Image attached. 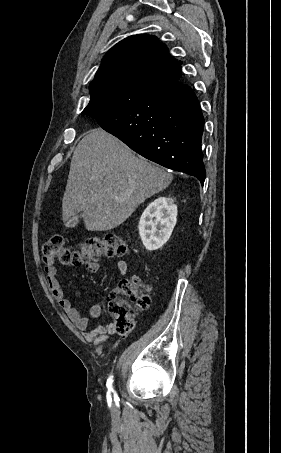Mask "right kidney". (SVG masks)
<instances>
[{"label": "right kidney", "instance_id": "1", "mask_svg": "<svg viewBox=\"0 0 281 453\" xmlns=\"http://www.w3.org/2000/svg\"><path fill=\"white\" fill-rule=\"evenodd\" d=\"M177 204L173 198L159 196L148 204L139 220L141 241L147 251L161 249L167 243L176 224Z\"/></svg>", "mask_w": 281, "mask_h": 453}]
</instances>
